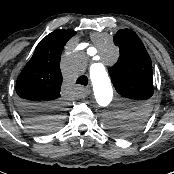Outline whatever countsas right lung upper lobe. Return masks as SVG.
Listing matches in <instances>:
<instances>
[{
	"label": "right lung upper lobe",
	"mask_w": 174,
	"mask_h": 174,
	"mask_svg": "<svg viewBox=\"0 0 174 174\" xmlns=\"http://www.w3.org/2000/svg\"><path fill=\"white\" fill-rule=\"evenodd\" d=\"M75 34L72 30H56L40 41L17 78L19 100L58 104L62 84L60 55L66 42Z\"/></svg>",
	"instance_id": "right-lung-upper-lobe-1"
}]
</instances>
